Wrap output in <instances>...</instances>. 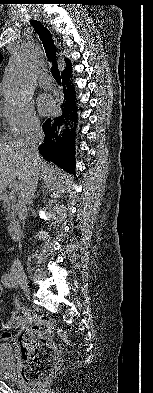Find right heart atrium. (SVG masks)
I'll return each mask as SVG.
<instances>
[{"mask_svg":"<svg viewBox=\"0 0 153 393\" xmlns=\"http://www.w3.org/2000/svg\"><path fill=\"white\" fill-rule=\"evenodd\" d=\"M2 119L10 135L18 137L37 130L39 118L31 104H10L2 111Z\"/></svg>","mask_w":153,"mask_h":393,"instance_id":"d8ad5b80","label":"right heart atrium"}]
</instances>
